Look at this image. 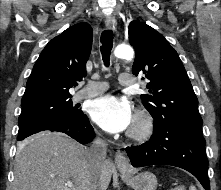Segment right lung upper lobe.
I'll use <instances>...</instances> for the list:
<instances>
[{"label": "right lung upper lobe", "instance_id": "1", "mask_svg": "<svg viewBox=\"0 0 221 190\" xmlns=\"http://www.w3.org/2000/svg\"><path fill=\"white\" fill-rule=\"evenodd\" d=\"M93 31L88 23L75 24L43 49L26 84L21 106L71 98L69 89L86 75Z\"/></svg>", "mask_w": 221, "mask_h": 190}]
</instances>
